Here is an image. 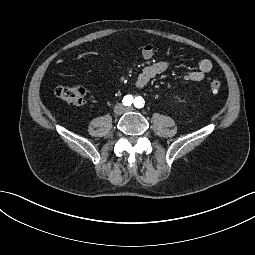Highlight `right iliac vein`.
<instances>
[{
    "instance_id": "63e3f726",
    "label": "right iliac vein",
    "mask_w": 255,
    "mask_h": 255,
    "mask_svg": "<svg viewBox=\"0 0 255 255\" xmlns=\"http://www.w3.org/2000/svg\"><path fill=\"white\" fill-rule=\"evenodd\" d=\"M124 110H125L124 107L121 104H118L114 108V113L116 115H121L124 112Z\"/></svg>"
}]
</instances>
